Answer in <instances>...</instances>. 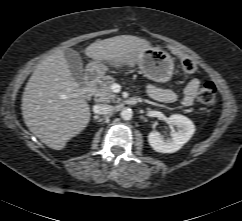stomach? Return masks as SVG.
<instances>
[{
	"label": "stomach",
	"mask_w": 242,
	"mask_h": 221,
	"mask_svg": "<svg viewBox=\"0 0 242 221\" xmlns=\"http://www.w3.org/2000/svg\"><path fill=\"white\" fill-rule=\"evenodd\" d=\"M115 67L121 65L134 66L138 65L141 72L150 80L155 82H167L172 78L174 70V60L165 51L156 47H149L135 55L113 60ZM107 67L101 60H94L87 66L88 73L92 74L95 78L103 77Z\"/></svg>",
	"instance_id": "obj_1"
}]
</instances>
